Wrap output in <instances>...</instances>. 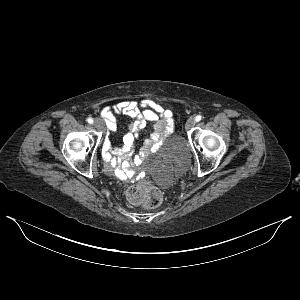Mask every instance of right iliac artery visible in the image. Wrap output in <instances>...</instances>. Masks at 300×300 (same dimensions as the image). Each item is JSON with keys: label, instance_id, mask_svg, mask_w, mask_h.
I'll return each instance as SVG.
<instances>
[{"label": "right iliac artery", "instance_id": "82829eb1", "mask_svg": "<svg viewBox=\"0 0 300 300\" xmlns=\"http://www.w3.org/2000/svg\"><path fill=\"white\" fill-rule=\"evenodd\" d=\"M87 121H88V123L93 124V119L92 118H88Z\"/></svg>", "mask_w": 300, "mask_h": 300}]
</instances>
